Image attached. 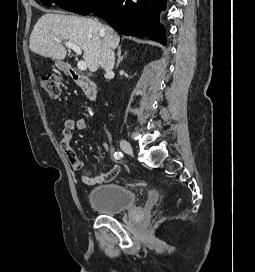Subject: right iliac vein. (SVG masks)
Instances as JSON below:
<instances>
[{"instance_id":"obj_1","label":"right iliac vein","mask_w":255,"mask_h":272,"mask_svg":"<svg viewBox=\"0 0 255 272\" xmlns=\"http://www.w3.org/2000/svg\"><path fill=\"white\" fill-rule=\"evenodd\" d=\"M120 147L122 151H124L127 154H132L133 153V148L131 144L127 140H121L120 141Z\"/></svg>"}]
</instances>
